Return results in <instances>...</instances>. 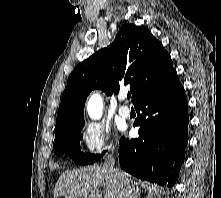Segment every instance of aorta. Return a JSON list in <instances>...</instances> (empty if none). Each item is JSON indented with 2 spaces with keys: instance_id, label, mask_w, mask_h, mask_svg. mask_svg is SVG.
I'll use <instances>...</instances> for the list:
<instances>
[{
  "instance_id": "762f6f07",
  "label": "aorta",
  "mask_w": 221,
  "mask_h": 198,
  "mask_svg": "<svg viewBox=\"0 0 221 198\" xmlns=\"http://www.w3.org/2000/svg\"><path fill=\"white\" fill-rule=\"evenodd\" d=\"M103 111V101L102 98L94 93L90 96L87 102V112L91 119L98 120L102 116Z\"/></svg>"
}]
</instances>
